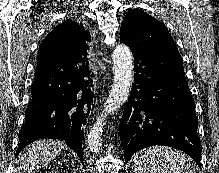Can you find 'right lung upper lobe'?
<instances>
[{"instance_id": "1", "label": "right lung upper lobe", "mask_w": 219, "mask_h": 173, "mask_svg": "<svg viewBox=\"0 0 219 173\" xmlns=\"http://www.w3.org/2000/svg\"><path fill=\"white\" fill-rule=\"evenodd\" d=\"M89 40L90 34L82 24L66 20L43 40L38 51L39 61L63 60L64 57L74 55L79 59L84 58L85 61L88 50L86 41Z\"/></svg>"}]
</instances>
